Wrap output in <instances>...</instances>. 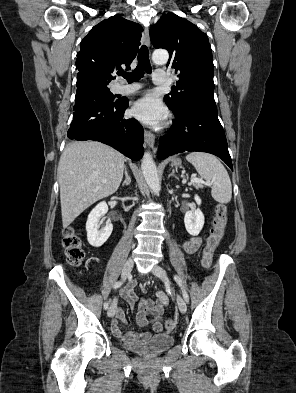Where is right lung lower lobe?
Here are the masks:
<instances>
[{
  "label": "right lung lower lobe",
  "instance_id": "right-lung-lower-lobe-1",
  "mask_svg": "<svg viewBox=\"0 0 296 393\" xmlns=\"http://www.w3.org/2000/svg\"><path fill=\"white\" fill-rule=\"evenodd\" d=\"M77 93L69 139L97 140L132 160L143 155L144 133L135 119H125L127 98L108 99L87 76H77Z\"/></svg>",
  "mask_w": 296,
  "mask_h": 393
}]
</instances>
